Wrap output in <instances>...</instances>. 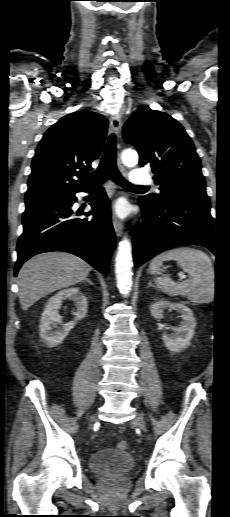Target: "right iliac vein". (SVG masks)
<instances>
[{
    "label": "right iliac vein",
    "mask_w": 230,
    "mask_h": 517,
    "mask_svg": "<svg viewBox=\"0 0 230 517\" xmlns=\"http://www.w3.org/2000/svg\"><path fill=\"white\" fill-rule=\"evenodd\" d=\"M95 420H96V416H93V417L91 418V421H95Z\"/></svg>",
    "instance_id": "right-iliac-vein-1"
}]
</instances>
